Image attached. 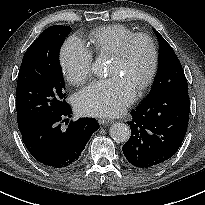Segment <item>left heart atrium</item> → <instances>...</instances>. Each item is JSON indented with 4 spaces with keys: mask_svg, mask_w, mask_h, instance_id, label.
<instances>
[{
    "mask_svg": "<svg viewBox=\"0 0 205 205\" xmlns=\"http://www.w3.org/2000/svg\"><path fill=\"white\" fill-rule=\"evenodd\" d=\"M136 87L124 77L95 81L75 97L76 111L85 116H116L136 98Z\"/></svg>",
    "mask_w": 205,
    "mask_h": 205,
    "instance_id": "obj_1",
    "label": "left heart atrium"
}]
</instances>
